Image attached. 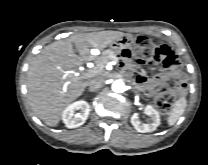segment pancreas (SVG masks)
I'll return each instance as SVG.
<instances>
[{"instance_id": "obj_1", "label": "pancreas", "mask_w": 208, "mask_h": 165, "mask_svg": "<svg viewBox=\"0 0 208 165\" xmlns=\"http://www.w3.org/2000/svg\"><path fill=\"white\" fill-rule=\"evenodd\" d=\"M110 61H118L116 53L111 49L104 50L101 56L97 59V64L99 66L98 70L101 71V69Z\"/></svg>"}]
</instances>
